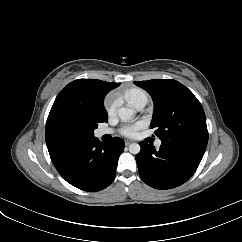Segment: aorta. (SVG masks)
Segmentation results:
<instances>
[{
  "mask_svg": "<svg viewBox=\"0 0 242 242\" xmlns=\"http://www.w3.org/2000/svg\"><path fill=\"white\" fill-rule=\"evenodd\" d=\"M134 115V110L130 107H121L118 110V116L121 120L127 121L131 119ZM140 145L138 143H131L129 145V152L132 154H138L140 152Z\"/></svg>",
  "mask_w": 242,
  "mask_h": 242,
  "instance_id": "aorta-1",
  "label": "aorta"
}]
</instances>
